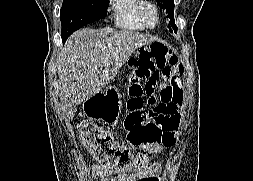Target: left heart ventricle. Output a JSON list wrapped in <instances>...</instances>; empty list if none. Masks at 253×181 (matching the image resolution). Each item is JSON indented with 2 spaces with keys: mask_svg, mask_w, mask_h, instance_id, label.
I'll list each match as a JSON object with an SVG mask.
<instances>
[{
  "mask_svg": "<svg viewBox=\"0 0 253 181\" xmlns=\"http://www.w3.org/2000/svg\"><path fill=\"white\" fill-rule=\"evenodd\" d=\"M148 20L151 24H153L155 21L154 15L151 12L148 14Z\"/></svg>",
  "mask_w": 253,
  "mask_h": 181,
  "instance_id": "left-heart-ventricle-1",
  "label": "left heart ventricle"
}]
</instances>
